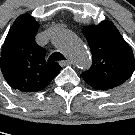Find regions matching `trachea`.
<instances>
[{
    "mask_svg": "<svg viewBox=\"0 0 135 135\" xmlns=\"http://www.w3.org/2000/svg\"><path fill=\"white\" fill-rule=\"evenodd\" d=\"M60 60H66V58L60 52H54L48 58V61H60Z\"/></svg>",
    "mask_w": 135,
    "mask_h": 135,
    "instance_id": "trachea-1",
    "label": "trachea"
}]
</instances>
